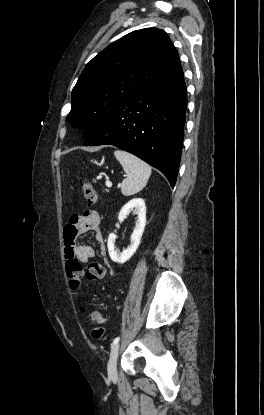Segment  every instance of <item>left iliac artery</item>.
<instances>
[{
	"mask_svg": "<svg viewBox=\"0 0 264 415\" xmlns=\"http://www.w3.org/2000/svg\"><path fill=\"white\" fill-rule=\"evenodd\" d=\"M119 340H120V337H116V338L113 340L112 345H113V346H114V345H116V344L119 342Z\"/></svg>",
	"mask_w": 264,
	"mask_h": 415,
	"instance_id": "obj_1",
	"label": "left iliac artery"
}]
</instances>
